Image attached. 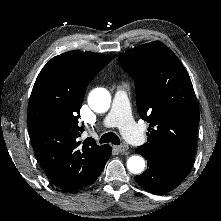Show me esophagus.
<instances>
[{
  "mask_svg": "<svg viewBox=\"0 0 221 221\" xmlns=\"http://www.w3.org/2000/svg\"><path fill=\"white\" fill-rule=\"evenodd\" d=\"M114 148H115L118 152L124 153V152H126V151L129 149V146H128V144L123 143L122 145L115 146Z\"/></svg>",
  "mask_w": 221,
  "mask_h": 221,
  "instance_id": "obj_1",
  "label": "esophagus"
}]
</instances>
